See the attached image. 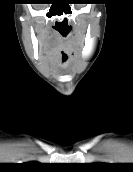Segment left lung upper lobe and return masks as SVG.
Masks as SVG:
<instances>
[{
    "mask_svg": "<svg viewBox=\"0 0 133 172\" xmlns=\"http://www.w3.org/2000/svg\"><path fill=\"white\" fill-rule=\"evenodd\" d=\"M94 165L97 167H102V165H104V164L103 163H95Z\"/></svg>",
    "mask_w": 133,
    "mask_h": 172,
    "instance_id": "1",
    "label": "left lung upper lobe"
}]
</instances>
